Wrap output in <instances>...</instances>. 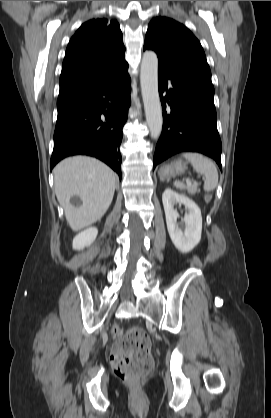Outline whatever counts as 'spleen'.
<instances>
[{
	"mask_svg": "<svg viewBox=\"0 0 271 418\" xmlns=\"http://www.w3.org/2000/svg\"><path fill=\"white\" fill-rule=\"evenodd\" d=\"M183 157L191 162L196 172L205 176L204 190L207 192L213 191L218 185V171L213 161L198 153H185ZM174 186L181 190L187 188L180 181H175Z\"/></svg>",
	"mask_w": 271,
	"mask_h": 418,
	"instance_id": "spleen-1",
	"label": "spleen"
}]
</instances>
